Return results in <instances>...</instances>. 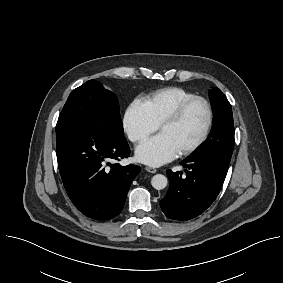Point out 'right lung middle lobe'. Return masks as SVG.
I'll use <instances>...</instances> for the list:
<instances>
[{
  "label": "right lung middle lobe",
  "instance_id": "dd1d6c3e",
  "mask_svg": "<svg viewBox=\"0 0 283 283\" xmlns=\"http://www.w3.org/2000/svg\"><path fill=\"white\" fill-rule=\"evenodd\" d=\"M85 124H99L124 137L118 99L96 80L87 81L72 91L58 118L56 138Z\"/></svg>",
  "mask_w": 283,
  "mask_h": 283
}]
</instances>
